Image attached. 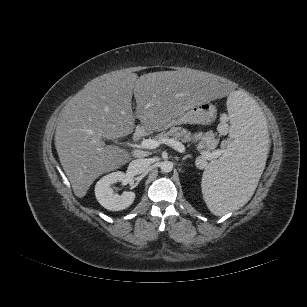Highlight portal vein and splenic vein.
Returning a JSON list of instances; mask_svg holds the SVG:
<instances>
[{"mask_svg": "<svg viewBox=\"0 0 307 307\" xmlns=\"http://www.w3.org/2000/svg\"><path fill=\"white\" fill-rule=\"evenodd\" d=\"M167 144L168 146H171L173 149L176 151L183 153L185 152V146L173 139V138H168V139H162V140H157V139H144L141 141L140 146L145 149H155L159 147L161 144ZM221 154L220 151H214L212 153H203V157L206 159H215Z\"/></svg>", "mask_w": 307, "mask_h": 307, "instance_id": "1", "label": "portal vein and splenic vein"}]
</instances>
